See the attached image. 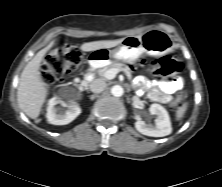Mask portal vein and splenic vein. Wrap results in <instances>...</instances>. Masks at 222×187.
Returning a JSON list of instances; mask_svg holds the SVG:
<instances>
[{
  "label": "portal vein and splenic vein",
  "instance_id": "1",
  "mask_svg": "<svg viewBox=\"0 0 222 187\" xmlns=\"http://www.w3.org/2000/svg\"><path fill=\"white\" fill-rule=\"evenodd\" d=\"M119 72L118 69H110L105 73V78L108 80L114 79L116 77V74Z\"/></svg>",
  "mask_w": 222,
  "mask_h": 187
}]
</instances>
